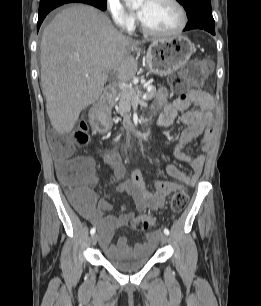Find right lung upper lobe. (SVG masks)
Masks as SVG:
<instances>
[{
    "label": "right lung upper lobe",
    "mask_w": 261,
    "mask_h": 306,
    "mask_svg": "<svg viewBox=\"0 0 261 306\" xmlns=\"http://www.w3.org/2000/svg\"><path fill=\"white\" fill-rule=\"evenodd\" d=\"M42 1H46V0H42ZM72 1H75V2H83V1H86V0H72Z\"/></svg>",
    "instance_id": "right-lung-upper-lobe-1"
}]
</instances>
